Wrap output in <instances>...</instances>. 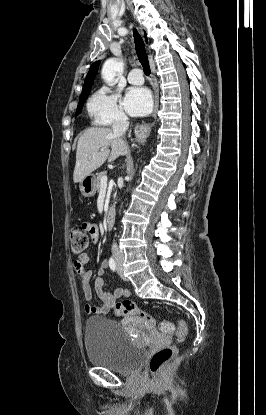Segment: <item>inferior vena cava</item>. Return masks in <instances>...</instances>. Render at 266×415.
<instances>
[{"label":"inferior vena cava","instance_id":"obj_1","mask_svg":"<svg viewBox=\"0 0 266 415\" xmlns=\"http://www.w3.org/2000/svg\"><path fill=\"white\" fill-rule=\"evenodd\" d=\"M128 127H129V121H128L127 116L124 115V114L119 115L115 119V121L112 125L113 134L115 136H118V137H123V135L127 131ZM111 251H112L113 257H115V258H122L123 257V253L119 250V248L117 246V243H115V242L112 244Z\"/></svg>","mask_w":266,"mask_h":415}]
</instances>
